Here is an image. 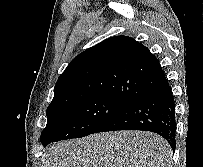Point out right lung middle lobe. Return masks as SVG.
Returning a JSON list of instances; mask_svg holds the SVG:
<instances>
[{
  "instance_id": "obj_1",
  "label": "right lung middle lobe",
  "mask_w": 203,
  "mask_h": 167,
  "mask_svg": "<svg viewBox=\"0 0 203 167\" xmlns=\"http://www.w3.org/2000/svg\"><path fill=\"white\" fill-rule=\"evenodd\" d=\"M130 103L106 96H88L47 108V125L41 142L47 146L71 138L98 132Z\"/></svg>"
}]
</instances>
